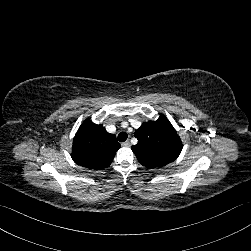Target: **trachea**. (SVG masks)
Here are the masks:
<instances>
[{
  "mask_svg": "<svg viewBox=\"0 0 251 251\" xmlns=\"http://www.w3.org/2000/svg\"><path fill=\"white\" fill-rule=\"evenodd\" d=\"M117 139H118L119 142L126 141V139H127V133L126 132L119 133Z\"/></svg>",
  "mask_w": 251,
  "mask_h": 251,
  "instance_id": "1",
  "label": "trachea"
}]
</instances>
